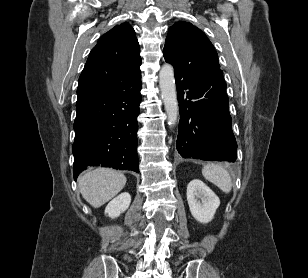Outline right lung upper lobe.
<instances>
[{
	"label": "right lung upper lobe",
	"instance_id": "cb5924a9",
	"mask_svg": "<svg viewBox=\"0 0 308 278\" xmlns=\"http://www.w3.org/2000/svg\"><path fill=\"white\" fill-rule=\"evenodd\" d=\"M139 53L134 29L128 23L105 33L91 50L79 77L77 102L130 88L141 78Z\"/></svg>",
	"mask_w": 308,
	"mask_h": 278
}]
</instances>
